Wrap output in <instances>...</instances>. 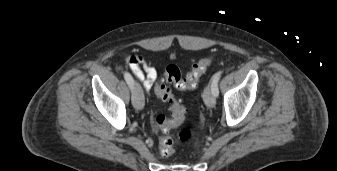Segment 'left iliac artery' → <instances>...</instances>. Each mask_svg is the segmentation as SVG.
<instances>
[{"instance_id": "1", "label": "left iliac artery", "mask_w": 337, "mask_h": 171, "mask_svg": "<svg viewBox=\"0 0 337 171\" xmlns=\"http://www.w3.org/2000/svg\"><path fill=\"white\" fill-rule=\"evenodd\" d=\"M221 75H222V71H219L216 74H214L211 79V91L215 97L219 95L218 82L221 78Z\"/></svg>"}]
</instances>
